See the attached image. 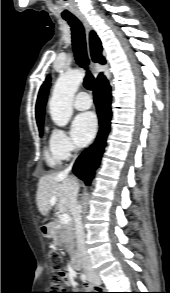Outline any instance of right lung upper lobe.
Returning a JSON list of instances; mask_svg holds the SVG:
<instances>
[{
  "label": "right lung upper lobe",
  "mask_w": 170,
  "mask_h": 293,
  "mask_svg": "<svg viewBox=\"0 0 170 293\" xmlns=\"http://www.w3.org/2000/svg\"><path fill=\"white\" fill-rule=\"evenodd\" d=\"M90 47H91V56L93 60L95 62H100L101 64H105V60L103 59L101 54V51H102L101 42L94 32L90 33ZM101 76L103 75H99V77ZM49 87H50V78H48L46 82L42 85L38 94V99L36 103V120H37L38 126H43L44 106L46 104Z\"/></svg>",
  "instance_id": "cb5924a9"
}]
</instances>
